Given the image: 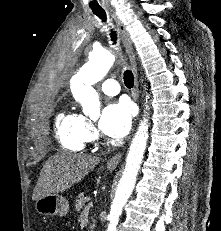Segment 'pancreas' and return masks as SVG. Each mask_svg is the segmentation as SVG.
Segmentation results:
<instances>
[{
	"mask_svg": "<svg viewBox=\"0 0 221 231\" xmlns=\"http://www.w3.org/2000/svg\"><path fill=\"white\" fill-rule=\"evenodd\" d=\"M89 199L87 197H84L83 193L79 194L78 197L75 200V210L77 212H80V210L85 206V203L88 201ZM95 225H91L90 226V231H93Z\"/></svg>",
	"mask_w": 221,
	"mask_h": 231,
	"instance_id": "1",
	"label": "pancreas"
}]
</instances>
